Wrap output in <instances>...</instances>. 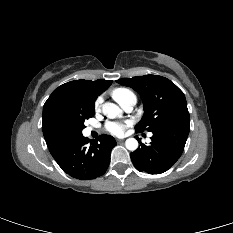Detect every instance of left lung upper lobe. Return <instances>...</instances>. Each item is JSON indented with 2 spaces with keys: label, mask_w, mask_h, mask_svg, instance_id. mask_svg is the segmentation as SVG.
Listing matches in <instances>:
<instances>
[{
  "label": "left lung upper lobe",
  "mask_w": 233,
  "mask_h": 233,
  "mask_svg": "<svg viewBox=\"0 0 233 233\" xmlns=\"http://www.w3.org/2000/svg\"><path fill=\"white\" fill-rule=\"evenodd\" d=\"M117 83L136 90L143 101L144 116L137 132H156L163 128L189 124V112L183 92L169 79L157 75L123 78Z\"/></svg>",
  "instance_id": "5c2ea615"
}]
</instances>
